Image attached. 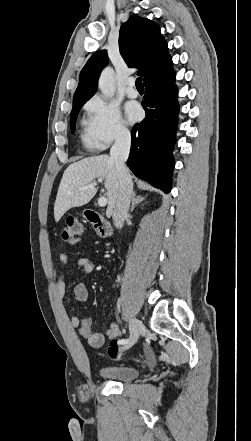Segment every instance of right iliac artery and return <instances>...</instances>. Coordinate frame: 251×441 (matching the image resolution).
<instances>
[{
  "label": "right iliac artery",
  "mask_w": 251,
  "mask_h": 441,
  "mask_svg": "<svg viewBox=\"0 0 251 441\" xmlns=\"http://www.w3.org/2000/svg\"><path fill=\"white\" fill-rule=\"evenodd\" d=\"M127 342H128V339L119 340V344H126Z\"/></svg>",
  "instance_id": "1"
}]
</instances>
